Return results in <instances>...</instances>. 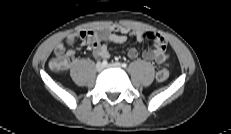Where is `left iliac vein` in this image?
<instances>
[{"label":"left iliac vein","instance_id":"4c4485c4","mask_svg":"<svg viewBox=\"0 0 231 134\" xmlns=\"http://www.w3.org/2000/svg\"><path fill=\"white\" fill-rule=\"evenodd\" d=\"M106 67H108V68H121V64L118 62H115V63L108 64Z\"/></svg>","mask_w":231,"mask_h":134}]
</instances>
